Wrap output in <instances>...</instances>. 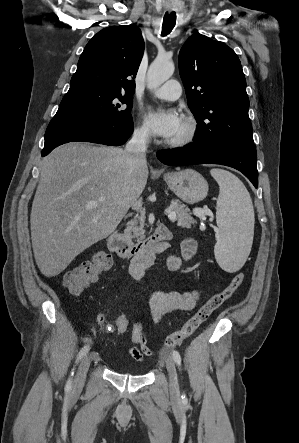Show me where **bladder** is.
<instances>
[{
  "label": "bladder",
  "instance_id": "1",
  "mask_svg": "<svg viewBox=\"0 0 299 443\" xmlns=\"http://www.w3.org/2000/svg\"><path fill=\"white\" fill-rule=\"evenodd\" d=\"M115 371L118 373L128 372L133 375H141L143 372V370L141 368H134V369H131L130 371H127V369L125 367H123V365H121L120 363H117L115 365Z\"/></svg>",
  "mask_w": 299,
  "mask_h": 443
}]
</instances>
